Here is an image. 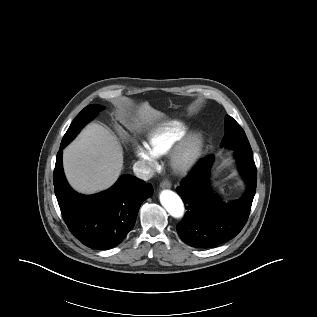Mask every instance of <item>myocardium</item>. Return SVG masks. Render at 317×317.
Listing matches in <instances>:
<instances>
[{
    "label": "myocardium",
    "mask_w": 317,
    "mask_h": 317,
    "mask_svg": "<svg viewBox=\"0 0 317 317\" xmlns=\"http://www.w3.org/2000/svg\"><path fill=\"white\" fill-rule=\"evenodd\" d=\"M204 147L201 133L193 132L183 137L171 154V165L175 172L185 174L199 161Z\"/></svg>",
    "instance_id": "1"
}]
</instances>
